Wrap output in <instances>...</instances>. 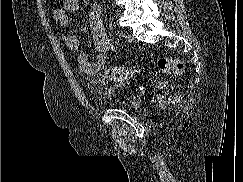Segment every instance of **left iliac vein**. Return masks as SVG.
Returning a JSON list of instances; mask_svg holds the SVG:
<instances>
[{"instance_id":"obj_1","label":"left iliac vein","mask_w":243,"mask_h":182,"mask_svg":"<svg viewBox=\"0 0 243 182\" xmlns=\"http://www.w3.org/2000/svg\"><path fill=\"white\" fill-rule=\"evenodd\" d=\"M125 38L128 42H133L135 40L134 36L131 33H126Z\"/></svg>"}]
</instances>
